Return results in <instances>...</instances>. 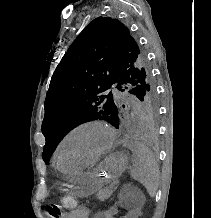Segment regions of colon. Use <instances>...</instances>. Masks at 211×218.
<instances>
[{
	"instance_id": "5ec220e1",
	"label": "colon",
	"mask_w": 211,
	"mask_h": 218,
	"mask_svg": "<svg viewBox=\"0 0 211 218\" xmlns=\"http://www.w3.org/2000/svg\"><path fill=\"white\" fill-rule=\"evenodd\" d=\"M61 204L65 209H75L77 207V200L69 194H65L61 198Z\"/></svg>"
}]
</instances>
